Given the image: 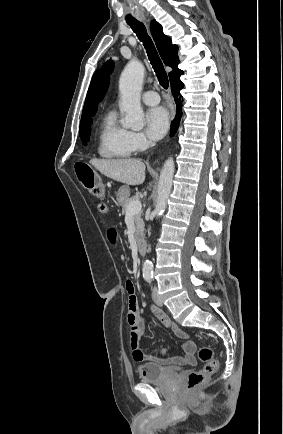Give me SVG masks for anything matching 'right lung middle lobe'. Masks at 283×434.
I'll list each match as a JSON object with an SVG mask.
<instances>
[{
  "label": "right lung middle lobe",
  "instance_id": "right-lung-middle-lobe-1",
  "mask_svg": "<svg viewBox=\"0 0 283 434\" xmlns=\"http://www.w3.org/2000/svg\"><path fill=\"white\" fill-rule=\"evenodd\" d=\"M91 124H92V121L80 124L79 135H80V138H81L83 144H86V142L88 140V137H89L90 131H91V128H90Z\"/></svg>",
  "mask_w": 283,
  "mask_h": 434
}]
</instances>
